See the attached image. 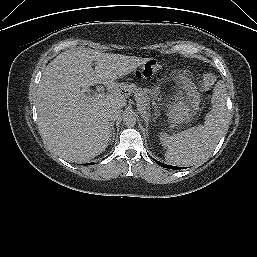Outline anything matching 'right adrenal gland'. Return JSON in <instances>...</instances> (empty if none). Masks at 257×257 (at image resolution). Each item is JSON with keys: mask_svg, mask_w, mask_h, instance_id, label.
Here are the masks:
<instances>
[{"mask_svg": "<svg viewBox=\"0 0 257 257\" xmlns=\"http://www.w3.org/2000/svg\"><path fill=\"white\" fill-rule=\"evenodd\" d=\"M112 127H111V143H113L114 142V139H115V128H114V123H112V125H111Z\"/></svg>", "mask_w": 257, "mask_h": 257, "instance_id": "2a0ac1e0", "label": "right adrenal gland"}]
</instances>
